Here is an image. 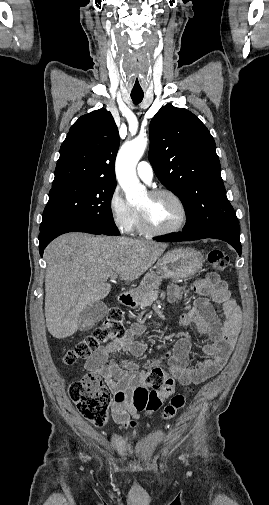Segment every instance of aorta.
<instances>
[{
	"instance_id": "1",
	"label": "aorta",
	"mask_w": 269,
	"mask_h": 505,
	"mask_svg": "<svg viewBox=\"0 0 269 505\" xmlns=\"http://www.w3.org/2000/svg\"><path fill=\"white\" fill-rule=\"evenodd\" d=\"M147 147V139L136 137L126 142L116 160V177L130 204H138L147 197L146 187L140 184L136 175V165Z\"/></svg>"
}]
</instances>
